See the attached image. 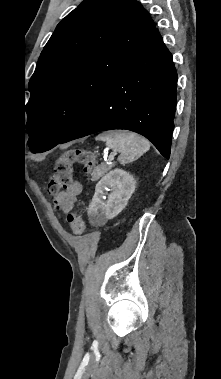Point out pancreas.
<instances>
[{"label":"pancreas","instance_id":"cf45deb5","mask_svg":"<svg viewBox=\"0 0 221 379\" xmlns=\"http://www.w3.org/2000/svg\"><path fill=\"white\" fill-rule=\"evenodd\" d=\"M114 165H108L106 163H102L99 166L95 167L91 174V180L97 181L100 177H102L106 172H108L110 169H112Z\"/></svg>","mask_w":221,"mask_h":379}]
</instances>
